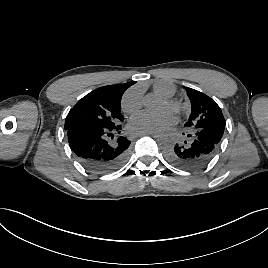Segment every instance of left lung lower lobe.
I'll return each mask as SVG.
<instances>
[{
    "instance_id": "left-lung-lower-lobe-1",
    "label": "left lung lower lobe",
    "mask_w": 268,
    "mask_h": 268,
    "mask_svg": "<svg viewBox=\"0 0 268 268\" xmlns=\"http://www.w3.org/2000/svg\"><path fill=\"white\" fill-rule=\"evenodd\" d=\"M225 126L204 128L189 134V140L174 146L169 159L182 169H196L207 164L218 151Z\"/></svg>"
}]
</instances>
